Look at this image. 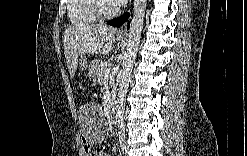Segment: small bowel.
I'll list each match as a JSON object with an SVG mask.
<instances>
[{"mask_svg": "<svg viewBox=\"0 0 247 156\" xmlns=\"http://www.w3.org/2000/svg\"><path fill=\"white\" fill-rule=\"evenodd\" d=\"M85 153L87 156H94L96 155V152L89 150V149H85Z\"/></svg>", "mask_w": 247, "mask_h": 156, "instance_id": "c3829d8e", "label": "small bowel"}]
</instances>
